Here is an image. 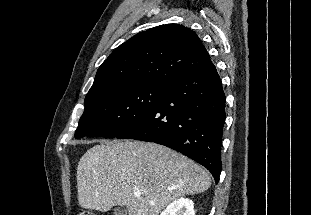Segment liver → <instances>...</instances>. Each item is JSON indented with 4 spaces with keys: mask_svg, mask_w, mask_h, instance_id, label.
Returning a JSON list of instances; mask_svg holds the SVG:
<instances>
[{
    "mask_svg": "<svg viewBox=\"0 0 311 215\" xmlns=\"http://www.w3.org/2000/svg\"><path fill=\"white\" fill-rule=\"evenodd\" d=\"M210 186V175L193 160L149 142L95 145L77 167L79 205L101 212L126 206L128 215H158L172 201Z\"/></svg>",
    "mask_w": 311,
    "mask_h": 215,
    "instance_id": "obj_1",
    "label": "liver"
}]
</instances>
